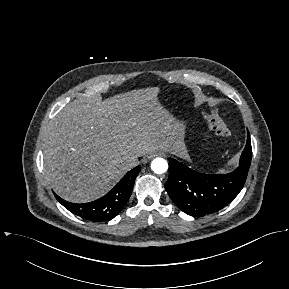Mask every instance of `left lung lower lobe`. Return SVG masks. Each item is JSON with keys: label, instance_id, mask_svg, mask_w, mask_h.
<instances>
[{"label": "left lung lower lobe", "instance_id": "left-lung-lower-lobe-1", "mask_svg": "<svg viewBox=\"0 0 289 289\" xmlns=\"http://www.w3.org/2000/svg\"><path fill=\"white\" fill-rule=\"evenodd\" d=\"M251 157L252 148L248 132L240 165L228 174H201L169 158L166 191L174 204L188 215L199 217L214 213L230 203L243 188Z\"/></svg>", "mask_w": 289, "mask_h": 289}]
</instances>
